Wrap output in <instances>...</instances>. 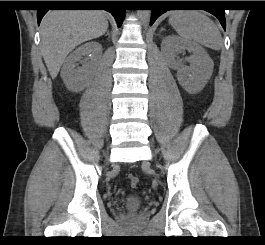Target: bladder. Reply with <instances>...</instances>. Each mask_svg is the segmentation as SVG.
I'll return each instance as SVG.
<instances>
[{"instance_id": "31cf9c89", "label": "bladder", "mask_w": 265, "mask_h": 245, "mask_svg": "<svg viewBox=\"0 0 265 245\" xmlns=\"http://www.w3.org/2000/svg\"><path fill=\"white\" fill-rule=\"evenodd\" d=\"M142 205V199L140 196L132 195L127 197L125 206L127 209H138Z\"/></svg>"}]
</instances>
